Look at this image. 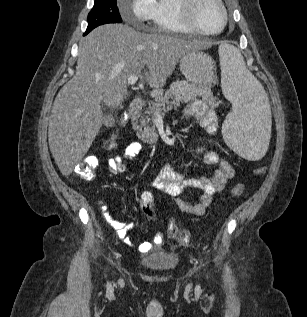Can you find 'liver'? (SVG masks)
Wrapping results in <instances>:
<instances>
[{"label":"liver","instance_id":"1","mask_svg":"<svg viewBox=\"0 0 307 317\" xmlns=\"http://www.w3.org/2000/svg\"><path fill=\"white\" fill-rule=\"evenodd\" d=\"M211 45L123 24L87 35L79 44L75 75L56 96L49 120V148L60 172L68 176L85 156L103 124L101 104L118 107L128 95L129 77L162 87L184 53Z\"/></svg>","mask_w":307,"mask_h":317}]
</instances>
